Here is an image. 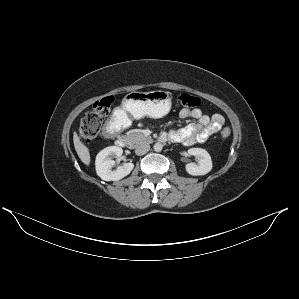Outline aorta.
<instances>
[{"mask_svg":"<svg viewBox=\"0 0 299 299\" xmlns=\"http://www.w3.org/2000/svg\"><path fill=\"white\" fill-rule=\"evenodd\" d=\"M153 149L156 152H160L163 149V145L161 143H155Z\"/></svg>","mask_w":299,"mask_h":299,"instance_id":"1","label":"aorta"}]
</instances>
